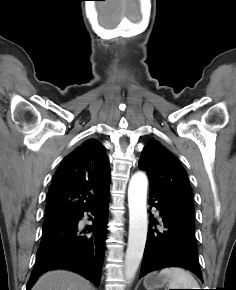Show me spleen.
Instances as JSON below:
<instances>
[{"mask_svg": "<svg viewBox=\"0 0 236 290\" xmlns=\"http://www.w3.org/2000/svg\"><path fill=\"white\" fill-rule=\"evenodd\" d=\"M159 275L169 279L168 289H199L193 275L179 267L164 268Z\"/></svg>", "mask_w": 236, "mask_h": 290, "instance_id": "1", "label": "spleen"}]
</instances>
